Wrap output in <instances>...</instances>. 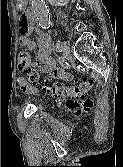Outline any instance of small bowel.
I'll return each mask as SVG.
<instances>
[{"mask_svg": "<svg viewBox=\"0 0 123 167\" xmlns=\"http://www.w3.org/2000/svg\"><path fill=\"white\" fill-rule=\"evenodd\" d=\"M23 3L24 0H19ZM20 29V43L25 46L29 51L36 49V43L30 39V34L34 29V23L29 13H22L19 20ZM38 32V54L35 60L32 61V66L39 68L45 73H54L58 76L64 77L65 73L56 67L55 61L50 57V37L37 29ZM20 89L24 92H34V87L29 85L24 79L19 80Z\"/></svg>", "mask_w": 123, "mask_h": 167, "instance_id": "small-bowel-1", "label": "small bowel"}]
</instances>
